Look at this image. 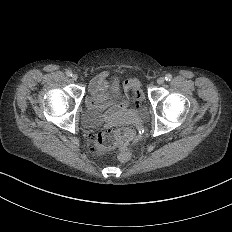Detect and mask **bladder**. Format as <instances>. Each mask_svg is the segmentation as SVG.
Instances as JSON below:
<instances>
[{"label":"bladder","mask_w":232,"mask_h":232,"mask_svg":"<svg viewBox=\"0 0 232 232\" xmlns=\"http://www.w3.org/2000/svg\"><path fill=\"white\" fill-rule=\"evenodd\" d=\"M118 84H119V78L118 76H115L110 85L112 100L115 102V104H121L126 106V102L120 95ZM134 111L140 117H145L147 115V109L144 106L136 108L134 109ZM102 120L103 117L100 110L95 108L87 109L83 111L81 115V123L84 127L87 128H94L99 126L102 123Z\"/></svg>","instance_id":"bladder-1"}]
</instances>
